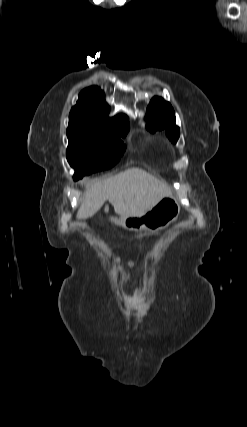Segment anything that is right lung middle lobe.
<instances>
[{
    "label": "right lung middle lobe",
    "mask_w": 247,
    "mask_h": 427,
    "mask_svg": "<svg viewBox=\"0 0 247 427\" xmlns=\"http://www.w3.org/2000/svg\"><path fill=\"white\" fill-rule=\"evenodd\" d=\"M129 126L101 128L70 122L67 128V160L75 169L74 179L113 167L124 154Z\"/></svg>",
    "instance_id": "1"
}]
</instances>
